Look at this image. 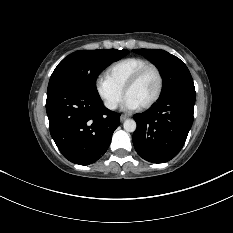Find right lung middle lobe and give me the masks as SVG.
I'll return each mask as SVG.
<instances>
[{"label":"right lung middle lobe","instance_id":"right-lung-middle-lobe-1","mask_svg":"<svg viewBox=\"0 0 233 233\" xmlns=\"http://www.w3.org/2000/svg\"><path fill=\"white\" fill-rule=\"evenodd\" d=\"M128 50H80L64 58L51 75L48 90L55 87H72L99 95L96 79L111 63L128 54Z\"/></svg>","mask_w":233,"mask_h":233}]
</instances>
